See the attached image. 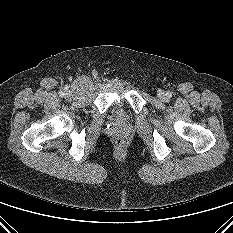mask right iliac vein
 I'll return each instance as SVG.
<instances>
[{"instance_id":"obj_1","label":"right iliac vein","mask_w":233,"mask_h":233,"mask_svg":"<svg viewBox=\"0 0 233 233\" xmlns=\"http://www.w3.org/2000/svg\"><path fill=\"white\" fill-rule=\"evenodd\" d=\"M73 93H72V91H67L66 93H65V99L67 100V101H69V100H71L72 98H73Z\"/></svg>"}]
</instances>
